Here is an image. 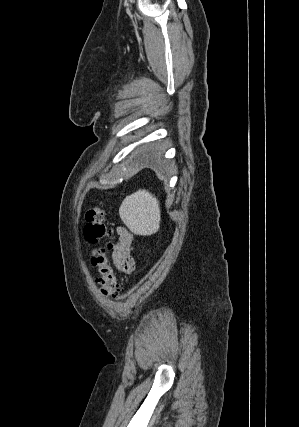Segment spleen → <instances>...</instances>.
I'll list each match as a JSON object with an SVG mask.
<instances>
[{"label": "spleen", "mask_w": 299, "mask_h": 427, "mask_svg": "<svg viewBox=\"0 0 299 427\" xmlns=\"http://www.w3.org/2000/svg\"><path fill=\"white\" fill-rule=\"evenodd\" d=\"M119 215L134 234L149 236L159 230L161 221L159 201L145 189L127 196L119 208Z\"/></svg>", "instance_id": "3e777b00"}]
</instances>
